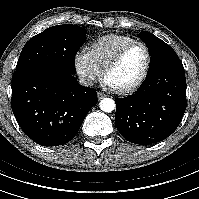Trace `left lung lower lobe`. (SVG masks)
<instances>
[{
	"mask_svg": "<svg viewBox=\"0 0 199 199\" xmlns=\"http://www.w3.org/2000/svg\"><path fill=\"white\" fill-rule=\"evenodd\" d=\"M115 124L129 142L148 145L170 136L186 110V78L175 58L151 71L131 96L117 98Z\"/></svg>",
	"mask_w": 199,
	"mask_h": 199,
	"instance_id": "0a47b994",
	"label": "left lung lower lobe"
}]
</instances>
